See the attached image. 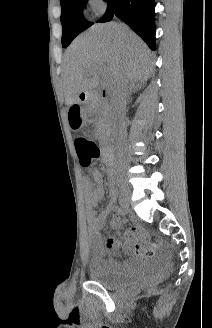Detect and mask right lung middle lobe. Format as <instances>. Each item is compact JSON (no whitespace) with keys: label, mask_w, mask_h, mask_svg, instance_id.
Instances as JSON below:
<instances>
[{"label":"right lung middle lobe","mask_w":212,"mask_h":328,"mask_svg":"<svg viewBox=\"0 0 212 328\" xmlns=\"http://www.w3.org/2000/svg\"><path fill=\"white\" fill-rule=\"evenodd\" d=\"M88 0H61V23L63 28L62 45L67 47L81 32L92 23H85L82 7Z\"/></svg>","instance_id":"obj_1"}]
</instances>
